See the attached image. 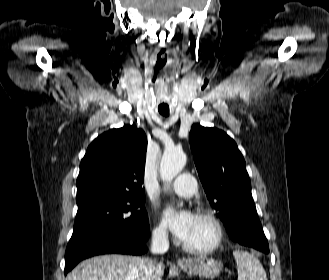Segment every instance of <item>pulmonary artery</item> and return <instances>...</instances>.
I'll return each instance as SVG.
<instances>
[{"instance_id":"1","label":"pulmonary artery","mask_w":329,"mask_h":280,"mask_svg":"<svg viewBox=\"0 0 329 280\" xmlns=\"http://www.w3.org/2000/svg\"><path fill=\"white\" fill-rule=\"evenodd\" d=\"M166 189L173 191L179 196L190 197L196 190V180L195 178L188 174H180L171 184L166 186Z\"/></svg>"}]
</instances>
